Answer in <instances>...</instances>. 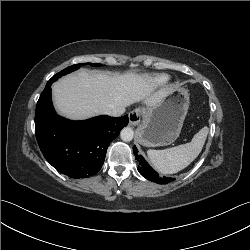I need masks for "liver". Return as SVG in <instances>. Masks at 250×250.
<instances>
[{
  "mask_svg": "<svg viewBox=\"0 0 250 250\" xmlns=\"http://www.w3.org/2000/svg\"><path fill=\"white\" fill-rule=\"evenodd\" d=\"M175 89L171 85L156 91L151 80L135 73H92L81 70L53 84V100L58 113L68 119L82 120L106 114L143 101L148 107L158 104Z\"/></svg>",
  "mask_w": 250,
  "mask_h": 250,
  "instance_id": "6515ba94",
  "label": "liver"
}]
</instances>
